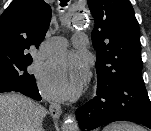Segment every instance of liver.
Listing matches in <instances>:
<instances>
[{"instance_id":"1","label":"liver","mask_w":151,"mask_h":131,"mask_svg":"<svg viewBox=\"0 0 151 131\" xmlns=\"http://www.w3.org/2000/svg\"><path fill=\"white\" fill-rule=\"evenodd\" d=\"M46 109L21 94H0V131H43Z\"/></svg>"}]
</instances>
